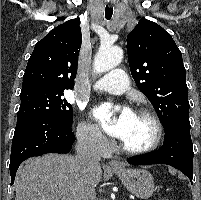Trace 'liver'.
Segmentation results:
<instances>
[{"instance_id":"6515ba94","label":"liver","mask_w":201,"mask_h":200,"mask_svg":"<svg viewBox=\"0 0 201 200\" xmlns=\"http://www.w3.org/2000/svg\"><path fill=\"white\" fill-rule=\"evenodd\" d=\"M17 174L15 200H78L79 174L74 156L46 154L32 158ZM101 179L99 165L93 173L95 186Z\"/></svg>"}]
</instances>
